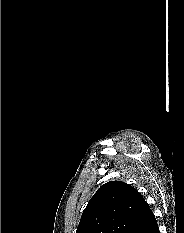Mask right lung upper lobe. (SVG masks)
<instances>
[{
	"label": "right lung upper lobe",
	"mask_w": 184,
	"mask_h": 233,
	"mask_svg": "<svg viewBox=\"0 0 184 233\" xmlns=\"http://www.w3.org/2000/svg\"><path fill=\"white\" fill-rule=\"evenodd\" d=\"M151 214L145 199L134 187L111 181L90 199L76 233H132Z\"/></svg>",
	"instance_id": "cb5924a9"
}]
</instances>
